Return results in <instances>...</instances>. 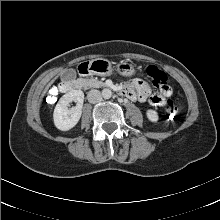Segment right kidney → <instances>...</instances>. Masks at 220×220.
<instances>
[{"instance_id":"obj_1","label":"right kidney","mask_w":220,"mask_h":220,"mask_svg":"<svg viewBox=\"0 0 220 220\" xmlns=\"http://www.w3.org/2000/svg\"><path fill=\"white\" fill-rule=\"evenodd\" d=\"M73 101L76 102V106L69 108V104ZM83 102L84 93L81 90H72L63 95L58 101L53 113L56 128L61 131L72 129L82 115Z\"/></svg>"}]
</instances>
